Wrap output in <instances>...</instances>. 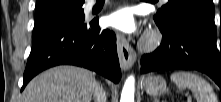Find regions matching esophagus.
<instances>
[{"label": "esophagus", "instance_id": "34e87169", "mask_svg": "<svg viewBox=\"0 0 221 102\" xmlns=\"http://www.w3.org/2000/svg\"><path fill=\"white\" fill-rule=\"evenodd\" d=\"M117 50L121 68L123 70L130 69L136 61V53L120 34H117Z\"/></svg>", "mask_w": 221, "mask_h": 102}]
</instances>
